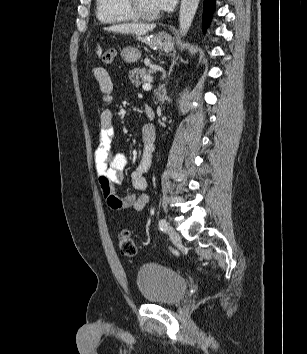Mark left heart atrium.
<instances>
[{
    "mask_svg": "<svg viewBox=\"0 0 307 354\" xmlns=\"http://www.w3.org/2000/svg\"><path fill=\"white\" fill-rule=\"evenodd\" d=\"M154 2L157 9L160 11L172 8L175 5L176 0H154Z\"/></svg>",
    "mask_w": 307,
    "mask_h": 354,
    "instance_id": "39dd6f15",
    "label": "left heart atrium"
}]
</instances>
